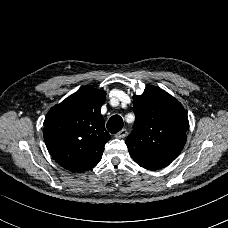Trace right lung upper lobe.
Returning <instances> with one entry per match:
<instances>
[{"instance_id":"cb5924a9","label":"right lung upper lobe","mask_w":228,"mask_h":228,"mask_svg":"<svg viewBox=\"0 0 228 228\" xmlns=\"http://www.w3.org/2000/svg\"><path fill=\"white\" fill-rule=\"evenodd\" d=\"M106 92L84 86L47 113L43 136L53 159L73 172L90 170L111 138L100 108Z\"/></svg>"}]
</instances>
